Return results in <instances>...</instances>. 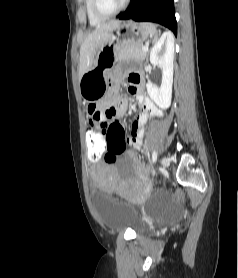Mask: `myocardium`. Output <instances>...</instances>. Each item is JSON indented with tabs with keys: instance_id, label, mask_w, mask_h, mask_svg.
<instances>
[{
	"instance_id": "f54148a6",
	"label": "myocardium",
	"mask_w": 238,
	"mask_h": 278,
	"mask_svg": "<svg viewBox=\"0 0 238 278\" xmlns=\"http://www.w3.org/2000/svg\"><path fill=\"white\" fill-rule=\"evenodd\" d=\"M130 0H123V2L120 4V6L112 11H104L100 6L99 0H91V7L92 11L95 16L101 19H107L110 17H113L120 13L122 10L126 8Z\"/></svg>"
}]
</instances>
